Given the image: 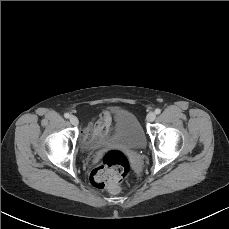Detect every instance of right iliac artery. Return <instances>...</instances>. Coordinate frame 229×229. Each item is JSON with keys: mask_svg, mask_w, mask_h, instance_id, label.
<instances>
[{"mask_svg": "<svg viewBox=\"0 0 229 229\" xmlns=\"http://www.w3.org/2000/svg\"><path fill=\"white\" fill-rule=\"evenodd\" d=\"M64 117H65V118H69V117H70V114H69V113H65V114H64Z\"/></svg>", "mask_w": 229, "mask_h": 229, "instance_id": "82829eb1", "label": "right iliac artery"}]
</instances>
